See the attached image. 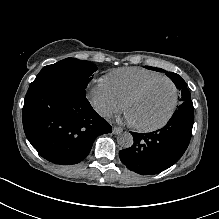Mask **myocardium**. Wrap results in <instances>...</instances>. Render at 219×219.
<instances>
[{
    "label": "myocardium",
    "mask_w": 219,
    "mask_h": 219,
    "mask_svg": "<svg viewBox=\"0 0 219 219\" xmlns=\"http://www.w3.org/2000/svg\"><path fill=\"white\" fill-rule=\"evenodd\" d=\"M161 81H166V82L170 83L172 88H173V99H172L171 105H170L167 113L165 114L164 118L159 123L151 125V126H140V125L133 124V127L139 131H144V132L154 131V130L160 129L164 125H166V123L169 121V119L173 115V112H174L176 105H177V101H178L177 87H176L175 83L168 77L156 78V79H153V80L143 84L138 89L133 91L124 101V110L127 112L128 105L133 100H135L136 98L141 96L147 89L152 87L154 84L161 82Z\"/></svg>",
    "instance_id": "f54148a6"
}]
</instances>
